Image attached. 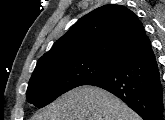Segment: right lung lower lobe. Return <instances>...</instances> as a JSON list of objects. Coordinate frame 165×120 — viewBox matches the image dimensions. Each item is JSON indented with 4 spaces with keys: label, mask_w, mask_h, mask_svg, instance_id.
I'll use <instances>...</instances> for the list:
<instances>
[{
    "label": "right lung lower lobe",
    "mask_w": 165,
    "mask_h": 120,
    "mask_svg": "<svg viewBox=\"0 0 165 120\" xmlns=\"http://www.w3.org/2000/svg\"><path fill=\"white\" fill-rule=\"evenodd\" d=\"M86 85L111 92L144 120H163V89L151 44L130 54L112 71Z\"/></svg>",
    "instance_id": "right-lung-lower-lobe-1"
}]
</instances>
